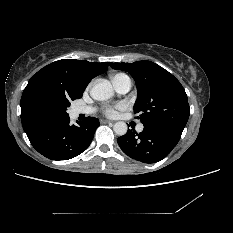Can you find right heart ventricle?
<instances>
[{"label":"right heart ventricle","mask_w":233,"mask_h":233,"mask_svg":"<svg viewBox=\"0 0 233 233\" xmlns=\"http://www.w3.org/2000/svg\"><path fill=\"white\" fill-rule=\"evenodd\" d=\"M122 76H125V75H123V74H116V75H114V76L112 77L113 83H114L116 80H118L120 77H122Z\"/></svg>","instance_id":"obj_1"}]
</instances>
